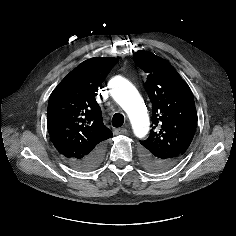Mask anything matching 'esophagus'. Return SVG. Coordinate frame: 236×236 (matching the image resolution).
<instances>
[{"label": "esophagus", "mask_w": 236, "mask_h": 236, "mask_svg": "<svg viewBox=\"0 0 236 236\" xmlns=\"http://www.w3.org/2000/svg\"><path fill=\"white\" fill-rule=\"evenodd\" d=\"M127 130L125 128H116L114 129L113 133L115 135L125 134Z\"/></svg>", "instance_id": "obj_1"}]
</instances>
